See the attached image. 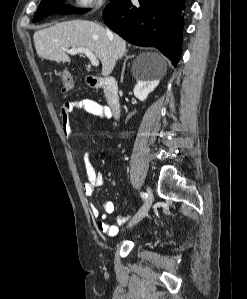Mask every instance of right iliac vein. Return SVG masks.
Here are the masks:
<instances>
[{"mask_svg": "<svg viewBox=\"0 0 247 299\" xmlns=\"http://www.w3.org/2000/svg\"><path fill=\"white\" fill-rule=\"evenodd\" d=\"M148 192V198L146 199L144 205L141 207V209L137 212V214L132 218V220L129 222L128 226L131 227L137 223H139L148 213L152 201H153V195L151 189L147 188Z\"/></svg>", "mask_w": 247, "mask_h": 299, "instance_id": "right-iliac-vein-1", "label": "right iliac vein"}]
</instances>
